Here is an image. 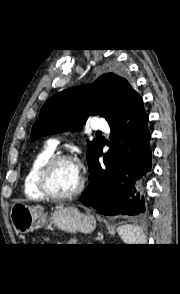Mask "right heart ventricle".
I'll return each instance as SVG.
<instances>
[{
  "instance_id": "1",
  "label": "right heart ventricle",
  "mask_w": 180,
  "mask_h": 294,
  "mask_svg": "<svg viewBox=\"0 0 180 294\" xmlns=\"http://www.w3.org/2000/svg\"><path fill=\"white\" fill-rule=\"evenodd\" d=\"M54 155V149L49 146L37 153L31 161L29 169L24 178L23 191L24 194L33 199L44 200L37 185L38 172L45 162Z\"/></svg>"
}]
</instances>
